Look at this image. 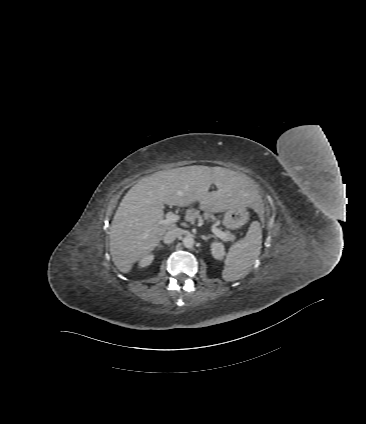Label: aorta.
<instances>
[{"label": "aorta", "instance_id": "1", "mask_svg": "<svg viewBox=\"0 0 366 424\" xmlns=\"http://www.w3.org/2000/svg\"><path fill=\"white\" fill-rule=\"evenodd\" d=\"M195 244L194 238L191 235H187L183 238V245L186 248H192Z\"/></svg>", "mask_w": 366, "mask_h": 424}]
</instances>
